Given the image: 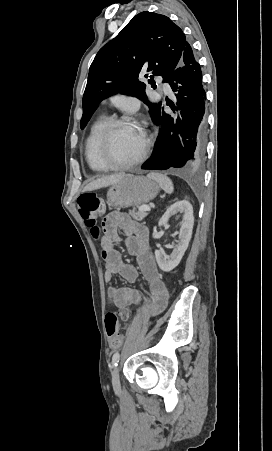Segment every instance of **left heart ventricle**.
I'll return each instance as SVG.
<instances>
[{"mask_svg":"<svg viewBox=\"0 0 272 451\" xmlns=\"http://www.w3.org/2000/svg\"><path fill=\"white\" fill-rule=\"evenodd\" d=\"M142 140L140 130L133 125H116L110 135L108 160L112 164L127 161L134 146Z\"/></svg>","mask_w":272,"mask_h":451,"instance_id":"1","label":"left heart ventricle"}]
</instances>
